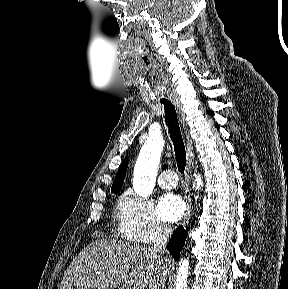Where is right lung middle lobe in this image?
Masks as SVG:
<instances>
[{"label":"right lung middle lobe","instance_id":"right-lung-middle-lobe-1","mask_svg":"<svg viewBox=\"0 0 288 289\" xmlns=\"http://www.w3.org/2000/svg\"><path fill=\"white\" fill-rule=\"evenodd\" d=\"M119 192V190H117V191H113L112 193H115V194H117Z\"/></svg>","mask_w":288,"mask_h":289}]
</instances>
